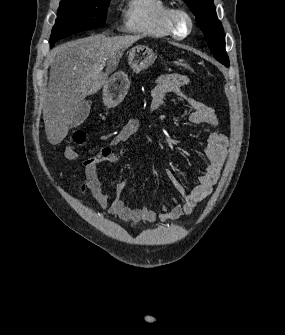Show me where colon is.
Masks as SVG:
<instances>
[{"mask_svg": "<svg viewBox=\"0 0 285 335\" xmlns=\"http://www.w3.org/2000/svg\"><path fill=\"white\" fill-rule=\"evenodd\" d=\"M176 65L181 69L193 71L190 63L185 59H178L176 61ZM85 139H86V134L84 131L78 130L73 135V141L76 144H82L85 141ZM65 156L67 159L75 161L79 159L80 154L75 148L68 147L65 151Z\"/></svg>", "mask_w": 285, "mask_h": 335, "instance_id": "5ec220e1", "label": "colon"}]
</instances>
